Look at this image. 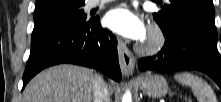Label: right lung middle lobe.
<instances>
[{"instance_id":"obj_1","label":"right lung middle lobe","mask_w":221,"mask_h":102,"mask_svg":"<svg viewBox=\"0 0 221 102\" xmlns=\"http://www.w3.org/2000/svg\"><path fill=\"white\" fill-rule=\"evenodd\" d=\"M85 0H48L35 8L32 43L58 27L88 21Z\"/></svg>"}]
</instances>
